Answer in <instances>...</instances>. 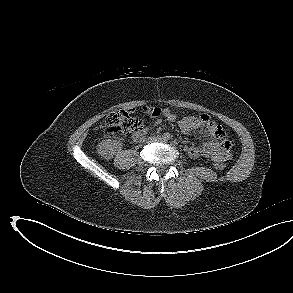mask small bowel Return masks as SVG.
<instances>
[{
	"instance_id": "c3829d8e",
	"label": "small bowel",
	"mask_w": 293,
	"mask_h": 293,
	"mask_svg": "<svg viewBox=\"0 0 293 293\" xmlns=\"http://www.w3.org/2000/svg\"><path fill=\"white\" fill-rule=\"evenodd\" d=\"M139 111L156 118L154 125L161 122L160 117L165 118L169 122H176L180 130L184 134H189L195 130H202L205 135L209 137L204 143L199 146L190 147L188 154L191 157H206L214 161H224L231 157L230 142L224 132L223 128L214 122L208 115L202 114L200 116H187L178 119L177 116L167 108H158L152 106H143ZM149 128H142L135 132L132 140L136 143L143 142Z\"/></svg>"
}]
</instances>
